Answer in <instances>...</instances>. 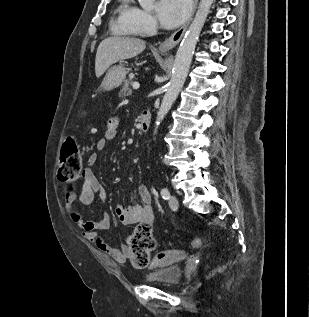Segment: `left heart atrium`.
<instances>
[{"label":"left heart atrium","mask_w":309,"mask_h":317,"mask_svg":"<svg viewBox=\"0 0 309 317\" xmlns=\"http://www.w3.org/2000/svg\"><path fill=\"white\" fill-rule=\"evenodd\" d=\"M190 0H160L158 4V18L161 25L172 29L180 25L189 15Z\"/></svg>","instance_id":"1"}]
</instances>
